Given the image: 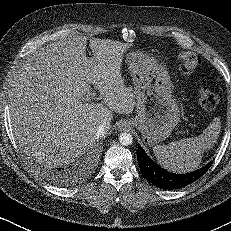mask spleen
Returning a JSON list of instances; mask_svg holds the SVG:
<instances>
[{"instance_id":"3e777b00","label":"spleen","mask_w":231,"mask_h":231,"mask_svg":"<svg viewBox=\"0 0 231 231\" xmlns=\"http://www.w3.org/2000/svg\"><path fill=\"white\" fill-rule=\"evenodd\" d=\"M221 131V120L215 117L202 134L185 138L168 145H157L153 152L159 164L173 173H188L196 170L205 150L217 142Z\"/></svg>"}]
</instances>
